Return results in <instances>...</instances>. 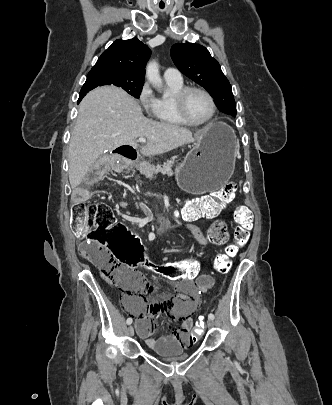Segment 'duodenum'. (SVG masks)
Masks as SVG:
<instances>
[{
  "instance_id": "1",
  "label": "duodenum",
  "mask_w": 332,
  "mask_h": 405,
  "mask_svg": "<svg viewBox=\"0 0 332 405\" xmlns=\"http://www.w3.org/2000/svg\"><path fill=\"white\" fill-rule=\"evenodd\" d=\"M126 160H128L129 163H133L137 156L136 153L134 151L131 150H127V151H123L122 153H120ZM213 215H211L210 213L207 214V217H212ZM193 220V216L191 215V213L189 212H185L176 223L166 220L163 221L161 226L163 228V230L168 231L174 228H178V227H182L184 223L186 222H190Z\"/></svg>"
}]
</instances>
